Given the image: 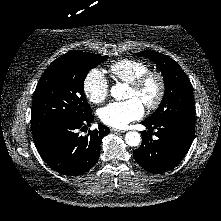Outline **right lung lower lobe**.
Listing matches in <instances>:
<instances>
[{"mask_svg":"<svg viewBox=\"0 0 221 221\" xmlns=\"http://www.w3.org/2000/svg\"><path fill=\"white\" fill-rule=\"evenodd\" d=\"M94 116L55 122L46 129L33 134L41 158L50 168L64 175L79 176L86 173L99 159L101 139L109 128L99 125L80 136L78 130L90 125Z\"/></svg>","mask_w":221,"mask_h":221,"instance_id":"98d812e1","label":"right lung lower lobe"}]
</instances>
